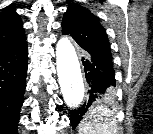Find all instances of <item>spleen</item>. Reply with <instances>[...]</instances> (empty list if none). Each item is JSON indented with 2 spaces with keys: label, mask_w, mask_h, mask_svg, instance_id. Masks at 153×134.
<instances>
[{
  "label": "spleen",
  "mask_w": 153,
  "mask_h": 134,
  "mask_svg": "<svg viewBox=\"0 0 153 134\" xmlns=\"http://www.w3.org/2000/svg\"><path fill=\"white\" fill-rule=\"evenodd\" d=\"M114 112L104 104H94L79 125V134H116L117 120Z\"/></svg>",
  "instance_id": "1"
}]
</instances>
